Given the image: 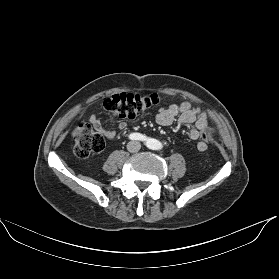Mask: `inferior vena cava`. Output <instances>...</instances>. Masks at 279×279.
I'll return each instance as SVG.
<instances>
[{
    "instance_id": "obj_1",
    "label": "inferior vena cava",
    "mask_w": 279,
    "mask_h": 279,
    "mask_svg": "<svg viewBox=\"0 0 279 279\" xmlns=\"http://www.w3.org/2000/svg\"><path fill=\"white\" fill-rule=\"evenodd\" d=\"M140 148H141V144L138 141H131L127 145L128 151L132 153L139 151Z\"/></svg>"
}]
</instances>
